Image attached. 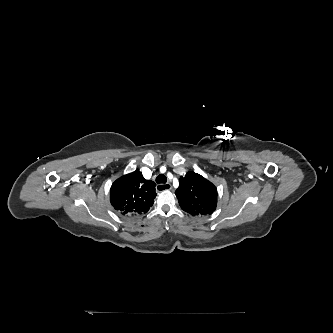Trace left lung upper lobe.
Wrapping results in <instances>:
<instances>
[{
	"mask_svg": "<svg viewBox=\"0 0 333 333\" xmlns=\"http://www.w3.org/2000/svg\"><path fill=\"white\" fill-rule=\"evenodd\" d=\"M175 194L181 208L192 215L212 214L216 209V187L197 173L188 172L180 177Z\"/></svg>",
	"mask_w": 333,
	"mask_h": 333,
	"instance_id": "5c2ea615",
	"label": "left lung upper lobe"
}]
</instances>
